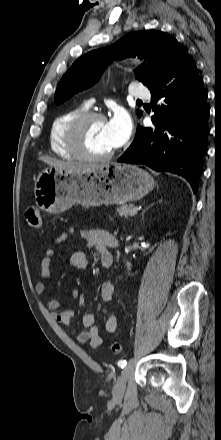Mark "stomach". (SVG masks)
Masks as SVG:
<instances>
[{
  "mask_svg": "<svg viewBox=\"0 0 221 440\" xmlns=\"http://www.w3.org/2000/svg\"><path fill=\"white\" fill-rule=\"evenodd\" d=\"M154 187L153 177L135 165L108 163L81 173L48 167L35 181L37 206L57 214L74 204H124L143 198Z\"/></svg>",
  "mask_w": 221,
  "mask_h": 440,
  "instance_id": "stomach-1",
  "label": "stomach"
}]
</instances>
